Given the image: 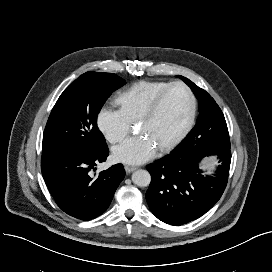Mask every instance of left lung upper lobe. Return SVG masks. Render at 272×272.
I'll list each match as a JSON object with an SVG mask.
<instances>
[{
    "label": "left lung upper lobe",
    "mask_w": 272,
    "mask_h": 272,
    "mask_svg": "<svg viewBox=\"0 0 272 272\" xmlns=\"http://www.w3.org/2000/svg\"><path fill=\"white\" fill-rule=\"evenodd\" d=\"M180 78L192 89L199 103V117L195 127L177 146L186 150H224L230 148V139L224 115L215 100L186 77Z\"/></svg>",
    "instance_id": "5c2ea615"
}]
</instances>
